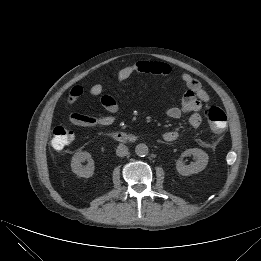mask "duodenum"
<instances>
[{"mask_svg":"<svg viewBox=\"0 0 261 261\" xmlns=\"http://www.w3.org/2000/svg\"><path fill=\"white\" fill-rule=\"evenodd\" d=\"M112 137L119 141V142H123V143H130V142H134L136 140L135 135L127 133V132H123V131H115L112 134Z\"/></svg>","mask_w":261,"mask_h":261,"instance_id":"obj_1","label":"duodenum"}]
</instances>
